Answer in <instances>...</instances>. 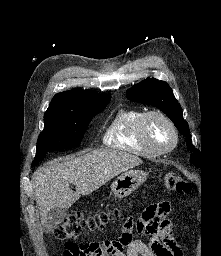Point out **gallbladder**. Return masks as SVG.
<instances>
[{"label":"gallbladder","instance_id":"obj_1","mask_svg":"<svg viewBox=\"0 0 221 256\" xmlns=\"http://www.w3.org/2000/svg\"><path fill=\"white\" fill-rule=\"evenodd\" d=\"M66 216V209L55 207L50 210L47 215V221L44 224V230L46 232H52L57 225L62 223Z\"/></svg>","mask_w":221,"mask_h":256}]
</instances>
